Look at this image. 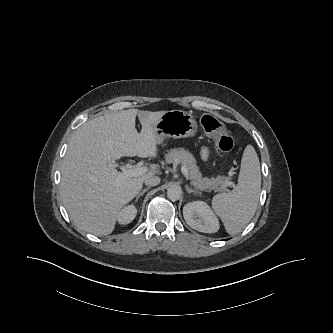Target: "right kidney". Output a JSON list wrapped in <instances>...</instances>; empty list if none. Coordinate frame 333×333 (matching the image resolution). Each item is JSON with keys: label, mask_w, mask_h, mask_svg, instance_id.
<instances>
[{"label": "right kidney", "mask_w": 333, "mask_h": 333, "mask_svg": "<svg viewBox=\"0 0 333 333\" xmlns=\"http://www.w3.org/2000/svg\"><path fill=\"white\" fill-rule=\"evenodd\" d=\"M137 215V209L134 205H128L120 210L117 215L119 224L126 225L132 222Z\"/></svg>", "instance_id": "1"}]
</instances>
